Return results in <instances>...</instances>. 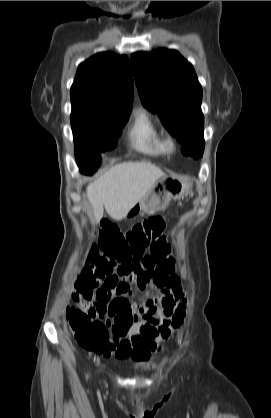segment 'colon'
Returning a JSON list of instances; mask_svg holds the SVG:
<instances>
[{"instance_id": "obj_1", "label": "colon", "mask_w": 271, "mask_h": 418, "mask_svg": "<svg viewBox=\"0 0 271 418\" xmlns=\"http://www.w3.org/2000/svg\"><path fill=\"white\" fill-rule=\"evenodd\" d=\"M164 226V220L158 216L149 217L126 232H121L111 223H104L98 233V242L90 249L89 257L95 260L100 257L101 251L103 257L118 263L138 260L143 255H149V248L158 237H161ZM167 249L169 252L168 247ZM87 281L91 285L94 279L88 277ZM96 295L97 291L95 293L88 290L75 291L73 299L76 306L67 309V320L77 342L85 349L92 351L103 349L111 340L108 337L109 328L105 327V323H97V314L89 313V306ZM84 301L90 302L87 309L82 307ZM137 314L141 313L137 312ZM182 317L181 311L171 316L172 326L178 327L182 322ZM142 331L147 333L145 328ZM169 333L170 331H167L166 335Z\"/></svg>"}]
</instances>
